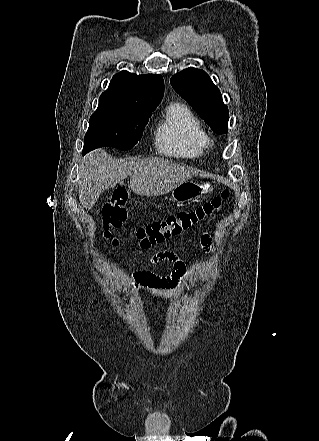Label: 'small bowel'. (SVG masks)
<instances>
[{"instance_id": "1", "label": "small bowel", "mask_w": 319, "mask_h": 441, "mask_svg": "<svg viewBox=\"0 0 319 441\" xmlns=\"http://www.w3.org/2000/svg\"><path fill=\"white\" fill-rule=\"evenodd\" d=\"M203 245L209 248V238L204 237ZM165 260L173 263V270L169 276H160L152 271H136L132 275L131 289L136 297L147 294L156 298H170L184 291L182 283L187 274L185 262L172 251H161L150 258V263L157 264Z\"/></svg>"}]
</instances>
